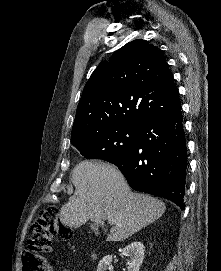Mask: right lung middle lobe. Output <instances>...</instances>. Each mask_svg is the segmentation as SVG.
I'll return each mask as SVG.
<instances>
[{"label": "right lung middle lobe", "mask_w": 221, "mask_h": 271, "mask_svg": "<svg viewBox=\"0 0 221 271\" xmlns=\"http://www.w3.org/2000/svg\"><path fill=\"white\" fill-rule=\"evenodd\" d=\"M139 131L140 127L137 126H113L71 140V143L87 159H102L113 163L135 145Z\"/></svg>", "instance_id": "right-lung-middle-lobe-1"}]
</instances>
